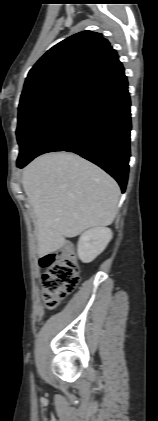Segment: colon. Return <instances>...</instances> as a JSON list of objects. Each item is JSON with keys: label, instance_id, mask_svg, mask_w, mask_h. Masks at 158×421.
I'll list each match as a JSON object with an SVG mask.
<instances>
[{"label": "colon", "instance_id": "5ec220e1", "mask_svg": "<svg viewBox=\"0 0 158 421\" xmlns=\"http://www.w3.org/2000/svg\"><path fill=\"white\" fill-rule=\"evenodd\" d=\"M46 272L42 275V298L46 307L53 309L70 293L80 280V267L71 245L40 259Z\"/></svg>", "mask_w": 158, "mask_h": 421}]
</instances>
